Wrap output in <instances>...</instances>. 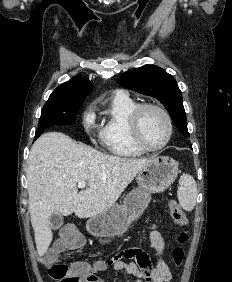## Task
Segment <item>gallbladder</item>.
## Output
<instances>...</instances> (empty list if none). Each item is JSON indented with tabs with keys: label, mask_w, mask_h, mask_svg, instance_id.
Masks as SVG:
<instances>
[{
	"label": "gallbladder",
	"mask_w": 232,
	"mask_h": 282,
	"mask_svg": "<svg viewBox=\"0 0 232 282\" xmlns=\"http://www.w3.org/2000/svg\"><path fill=\"white\" fill-rule=\"evenodd\" d=\"M64 218L61 214L53 213L49 218V225L51 229L56 230L63 225Z\"/></svg>",
	"instance_id": "bac80fb5"
}]
</instances>
